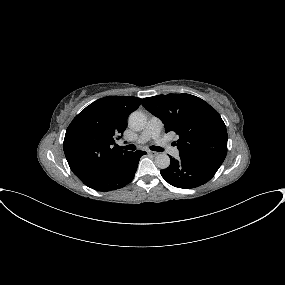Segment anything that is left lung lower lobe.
<instances>
[{"instance_id": "0a47b994", "label": "left lung lower lobe", "mask_w": 285, "mask_h": 285, "mask_svg": "<svg viewBox=\"0 0 285 285\" xmlns=\"http://www.w3.org/2000/svg\"><path fill=\"white\" fill-rule=\"evenodd\" d=\"M179 156V159L170 157V166L160 171L169 184L178 188H196L207 183L221 166L212 160Z\"/></svg>"}]
</instances>
